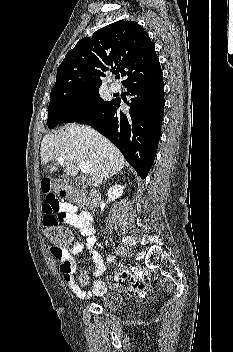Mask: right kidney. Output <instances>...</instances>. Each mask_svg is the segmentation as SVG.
<instances>
[{"instance_id":"1","label":"right kidney","mask_w":233,"mask_h":352,"mask_svg":"<svg viewBox=\"0 0 233 352\" xmlns=\"http://www.w3.org/2000/svg\"><path fill=\"white\" fill-rule=\"evenodd\" d=\"M124 186L121 185H114L110 187L108 190V198L110 201H114L115 199L119 198L123 194Z\"/></svg>"}]
</instances>
